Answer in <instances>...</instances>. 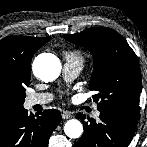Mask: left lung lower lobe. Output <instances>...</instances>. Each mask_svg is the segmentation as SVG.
Instances as JSON below:
<instances>
[{
    "label": "left lung lower lobe",
    "instance_id": "1",
    "mask_svg": "<svg viewBox=\"0 0 147 147\" xmlns=\"http://www.w3.org/2000/svg\"><path fill=\"white\" fill-rule=\"evenodd\" d=\"M83 122L84 133L74 147H127L133 138V124L111 113L100 112L98 121L81 113L76 115Z\"/></svg>",
    "mask_w": 147,
    "mask_h": 147
}]
</instances>
